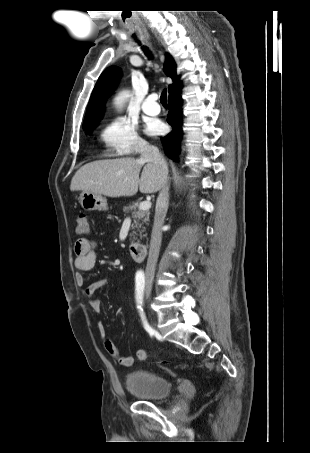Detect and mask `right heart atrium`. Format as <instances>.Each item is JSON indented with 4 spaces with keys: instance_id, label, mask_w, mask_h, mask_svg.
Returning a JSON list of instances; mask_svg holds the SVG:
<instances>
[{
    "instance_id": "obj_1",
    "label": "right heart atrium",
    "mask_w": 310,
    "mask_h": 453,
    "mask_svg": "<svg viewBox=\"0 0 310 453\" xmlns=\"http://www.w3.org/2000/svg\"><path fill=\"white\" fill-rule=\"evenodd\" d=\"M100 138L107 156L133 155L147 146L139 136L137 126L124 117L112 118L106 122Z\"/></svg>"
}]
</instances>
